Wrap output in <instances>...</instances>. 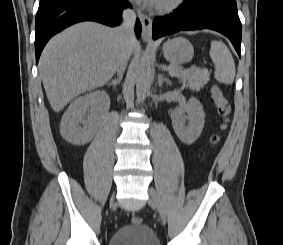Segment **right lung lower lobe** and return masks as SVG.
<instances>
[{
  "label": "right lung lower lobe",
  "instance_id": "obj_1",
  "mask_svg": "<svg viewBox=\"0 0 283 245\" xmlns=\"http://www.w3.org/2000/svg\"><path fill=\"white\" fill-rule=\"evenodd\" d=\"M127 7H131L127 0H40L36 15V63L48 40L64 28L87 20L115 26L120 24L122 10ZM135 30L139 37L138 20Z\"/></svg>",
  "mask_w": 283,
  "mask_h": 245
}]
</instances>
